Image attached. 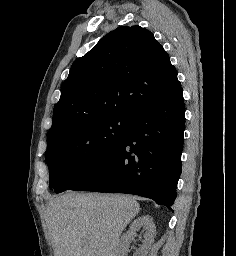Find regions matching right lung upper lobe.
I'll return each instance as SVG.
<instances>
[{
	"label": "right lung upper lobe",
	"mask_w": 236,
	"mask_h": 256,
	"mask_svg": "<svg viewBox=\"0 0 236 256\" xmlns=\"http://www.w3.org/2000/svg\"><path fill=\"white\" fill-rule=\"evenodd\" d=\"M180 85L152 32L138 25L118 27L73 63L48 136L97 119H135L144 107Z\"/></svg>",
	"instance_id": "cb5924a9"
}]
</instances>
